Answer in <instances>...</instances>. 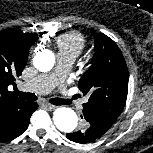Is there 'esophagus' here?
I'll return each mask as SVG.
<instances>
[{"mask_svg":"<svg viewBox=\"0 0 153 153\" xmlns=\"http://www.w3.org/2000/svg\"><path fill=\"white\" fill-rule=\"evenodd\" d=\"M43 106H44L45 108H47L48 110H50V111L56 109V106H55V105H51V104H43Z\"/></svg>","mask_w":153,"mask_h":153,"instance_id":"34e87169","label":"esophagus"}]
</instances>
